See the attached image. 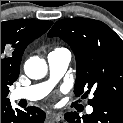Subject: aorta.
Masks as SVG:
<instances>
[{
    "mask_svg": "<svg viewBox=\"0 0 123 123\" xmlns=\"http://www.w3.org/2000/svg\"><path fill=\"white\" fill-rule=\"evenodd\" d=\"M25 74L31 79H41L48 71L47 63L39 57H30L24 65Z\"/></svg>",
    "mask_w": 123,
    "mask_h": 123,
    "instance_id": "1",
    "label": "aorta"
}]
</instances>
